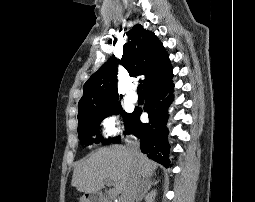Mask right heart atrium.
I'll use <instances>...</instances> for the list:
<instances>
[{"label": "right heart atrium", "instance_id": "right-heart-atrium-1", "mask_svg": "<svg viewBox=\"0 0 255 202\" xmlns=\"http://www.w3.org/2000/svg\"><path fill=\"white\" fill-rule=\"evenodd\" d=\"M102 135L105 139L116 137L121 133V121L115 113L106 114L100 122Z\"/></svg>", "mask_w": 255, "mask_h": 202}]
</instances>
